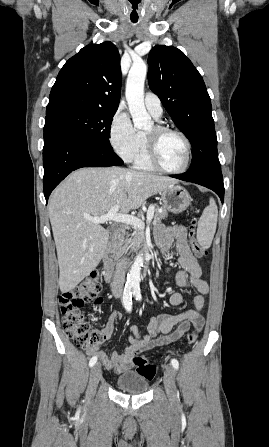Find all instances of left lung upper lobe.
Returning a JSON list of instances; mask_svg holds the SVG:
<instances>
[{
	"label": "left lung upper lobe",
	"instance_id": "left-lung-upper-lobe-1",
	"mask_svg": "<svg viewBox=\"0 0 269 447\" xmlns=\"http://www.w3.org/2000/svg\"><path fill=\"white\" fill-rule=\"evenodd\" d=\"M148 64L150 89L192 145L191 166L185 174L199 176L221 170L211 101L200 73L171 46L153 47Z\"/></svg>",
	"mask_w": 269,
	"mask_h": 447
}]
</instances>
